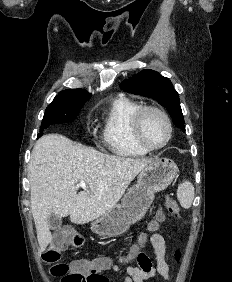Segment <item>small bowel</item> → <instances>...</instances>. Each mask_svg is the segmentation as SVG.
<instances>
[{"mask_svg":"<svg viewBox=\"0 0 232 282\" xmlns=\"http://www.w3.org/2000/svg\"><path fill=\"white\" fill-rule=\"evenodd\" d=\"M150 242L155 254L156 264L153 265L150 258L141 254L138 258L136 266H125L122 263H109L105 267L111 269L121 275L119 282H144L146 280H157L159 277L162 279L169 278V266L165 260L166 244L161 234L153 232L150 237ZM90 282H110V279L104 275L92 279Z\"/></svg>","mask_w":232,"mask_h":282,"instance_id":"1","label":"small bowel"}]
</instances>
